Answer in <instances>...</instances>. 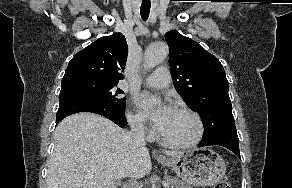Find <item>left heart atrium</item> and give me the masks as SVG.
<instances>
[{"label": "left heart atrium", "mask_w": 292, "mask_h": 188, "mask_svg": "<svg viewBox=\"0 0 292 188\" xmlns=\"http://www.w3.org/2000/svg\"><path fill=\"white\" fill-rule=\"evenodd\" d=\"M138 105L142 111L149 114L157 128H160L170 113L171 109L168 106H161L152 111V98L149 94L144 93L138 99Z\"/></svg>", "instance_id": "obj_1"}]
</instances>
